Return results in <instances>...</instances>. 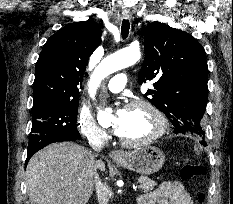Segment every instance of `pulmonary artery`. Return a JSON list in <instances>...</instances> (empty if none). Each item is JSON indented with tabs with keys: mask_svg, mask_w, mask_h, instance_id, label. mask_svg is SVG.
<instances>
[{
	"mask_svg": "<svg viewBox=\"0 0 233 204\" xmlns=\"http://www.w3.org/2000/svg\"><path fill=\"white\" fill-rule=\"evenodd\" d=\"M127 84V75L120 73L113 76L107 84V89L113 93H118L124 89Z\"/></svg>",
	"mask_w": 233,
	"mask_h": 204,
	"instance_id": "pulmonary-artery-1",
	"label": "pulmonary artery"
}]
</instances>
